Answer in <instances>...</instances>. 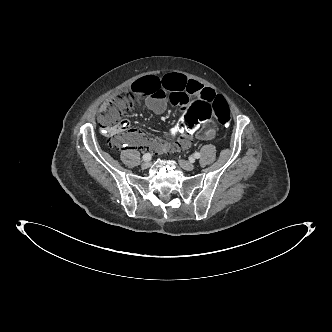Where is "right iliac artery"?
I'll return each mask as SVG.
<instances>
[{"instance_id": "82829eb1", "label": "right iliac artery", "mask_w": 332, "mask_h": 332, "mask_svg": "<svg viewBox=\"0 0 332 332\" xmlns=\"http://www.w3.org/2000/svg\"><path fill=\"white\" fill-rule=\"evenodd\" d=\"M143 160L144 161H150L151 160V154L150 153H145L143 155Z\"/></svg>"}]
</instances>
